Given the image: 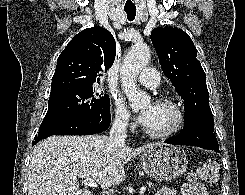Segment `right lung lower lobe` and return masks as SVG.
<instances>
[{
	"instance_id": "obj_1",
	"label": "right lung lower lobe",
	"mask_w": 245,
	"mask_h": 195,
	"mask_svg": "<svg viewBox=\"0 0 245 195\" xmlns=\"http://www.w3.org/2000/svg\"><path fill=\"white\" fill-rule=\"evenodd\" d=\"M110 123V108L98 109L40 130L32 145L52 135H91L100 133L105 131Z\"/></svg>"
}]
</instances>
